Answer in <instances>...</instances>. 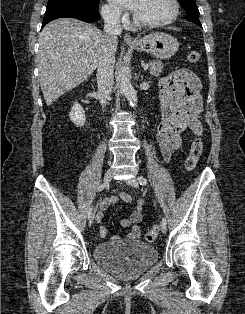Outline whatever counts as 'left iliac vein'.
Here are the masks:
<instances>
[{
	"label": "left iliac vein",
	"instance_id": "obj_1",
	"mask_svg": "<svg viewBox=\"0 0 245 314\" xmlns=\"http://www.w3.org/2000/svg\"><path fill=\"white\" fill-rule=\"evenodd\" d=\"M126 183L129 186H132L134 188H138L139 187V183H138V181H137V179L135 177H131V178L127 179ZM160 228H161L162 233L165 234L167 232L166 224H164L163 222H161Z\"/></svg>",
	"mask_w": 245,
	"mask_h": 314
}]
</instances>
